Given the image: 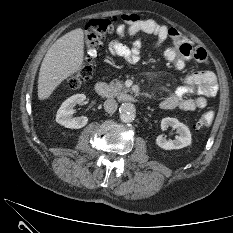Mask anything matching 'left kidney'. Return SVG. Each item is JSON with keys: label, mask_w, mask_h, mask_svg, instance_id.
<instances>
[{"label": "left kidney", "mask_w": 233, "mask_h": 233, "mask_svg": "<svg viewBox=\"0 0 233 233\" xmlns=\"http://www.w3.org/2000/svg\"><path fill=\"white\" fill-rule=\"evenodd\" d=\"M176 129L179 134L174 140L166 139L162 135L156 138V144L164 150L181 149L191 144L192 138L189 128L179 122L176 118L166 117L161 120V129L166 130L168 127Z\"/></svg>", "instance_id": "5707ae66"}]
</instances>
